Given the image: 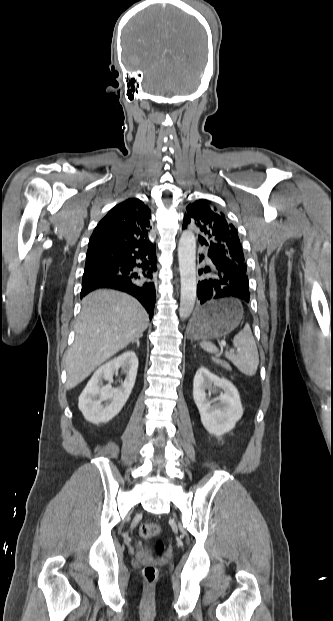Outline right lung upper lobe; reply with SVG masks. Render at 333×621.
<instances>
[{
	"instance_id": "obj_1",
	"label": "right lung upper lobe",
	"mask_w": 333,
	"mask_h": 621,
	"mask_svg": "<svg viewBox=\"0 0 333 621\" xmlns=\"http://www.w3.org/2000/svg\"><path fill=\"white\" fill-rule=\"evenodd\" d=\"M150 209L139 199H127L113 207L98 223L89 240L87 255L144 251L148 240Z\"/></svg>"
}]
</instances>
